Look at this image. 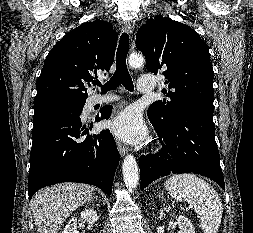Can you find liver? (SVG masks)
Wrapping results in <instances>:
<instances>
[{"mask_svg": "<svg viewBox=\"0 0 253 233\" xmlns=\"http://www.w3.org/2000/svg\"><path fill=\"white\" fill-rule=\"evenodd\" d=\"M94 196L92 186L77 183L57 184L39 191L31 200L37 231L58 233L69 215Z\"/></svg>", "mask_w": 253, "mask_h": 233, "instance_id": "obj_1", "label": "liver"}]
</instances>
